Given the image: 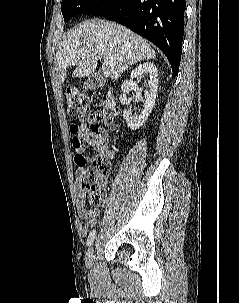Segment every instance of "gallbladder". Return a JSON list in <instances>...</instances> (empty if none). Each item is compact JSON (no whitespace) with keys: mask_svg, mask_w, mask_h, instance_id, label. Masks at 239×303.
Masks as SVG:
<instances>
[{"mask_svg":"<svg viewBox=\"0 0 239 303\" xmlns=\"http://www.w3.org/2000/svg\"><path fill=\"white\" fill-rule=\"evenodd\" d=\"M106 78L103 76L101 71L93 73L83 83V87L88 90H96L105 84Z\"/></svg>","mask_w":239,"mask_h":303,"instance_id":"1","label":"gallbladder"}]
</instances>
